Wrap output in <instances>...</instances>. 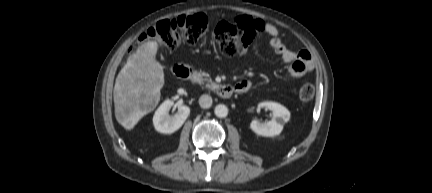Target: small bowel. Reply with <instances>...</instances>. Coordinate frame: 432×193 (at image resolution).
Listing matches in <instances>:
<instances>
[{"label": "small bowel", "instance_id": "small-bowel-1", "mask_svg": "<svg viewBox=\"0 0 432 193\" xmlns=\"http://www.w3.org/2000/svg\"><path fill=\"white\" fill-rule=\"evenodd\" d=\"M236 22L246 24L250 27L254 35L256 33H265L271 37V49L280 56L285 63L289 64L287 76L290 82L300 79L313 70L314 63L309 52L305 50L294 52L289 49L279 37V30L275 25L248 16H240L236 19ZM234 88L237 93H245L250 90L251 82L242 80L237 83Z\"/></svg>", "mask_w": 432, "mask_h": 193}]
</instances>
